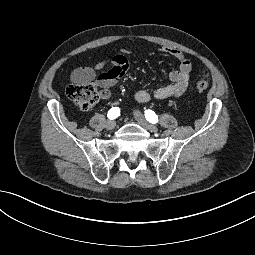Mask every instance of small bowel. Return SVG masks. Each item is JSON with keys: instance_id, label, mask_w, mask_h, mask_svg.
<instances>
[{"instance_id": "small-bowel-1", "label": "small bowel", "mask_w": 255, "mask_h": 255, "mask_svg": "<svg viewBox=\"0 0 255 255\" xmlns=\"http://www.w3.org/2000/svg\"><path fill=\"white\" fill-rule=\"evenodd\" d=\"M159 51L175 58L179 67L169 73L171 83L153 91L140 89L135 92L134 98L139 103H148L152 100H164L180 96L187 88L192 72V63L182 51L173 47H161ZM126 50L115 55L111 60V67L107 68L104 61L97 62L94 66H82L71 73V81L77 84L93 82L101 89L102 98L111 95L110 88L114 86L127 72L129 62Z\"/></svg>"}]
</instances>
